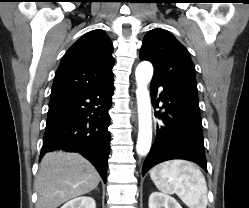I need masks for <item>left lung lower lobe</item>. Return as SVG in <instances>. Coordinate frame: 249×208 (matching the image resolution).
<instances>
[{
	"mask_svg": "<svg viewBox=\"0 0 249 208\" xmlns=\"http://www.w3.org/2000/svg\"><path fill=\"white\" fill-rule=\"evenodd\" d=\"M150 90L154 108L162 102L161 109L165 111L155 112V116L162 119V125L157 129L156 141L143 164L142 175L156 164L171 159L193 161L206 171L198 98L155 77Z\"/></svg>",
	"mask_w": 249,
	"mask_h": 208,
	"instance_id": "obj_1",
	"label": "left lung lower lobe"
}]
</instances>
